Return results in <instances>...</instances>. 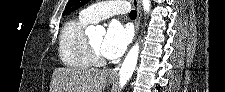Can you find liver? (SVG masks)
Listing matches in <instances>:
<instances>
[{"label":"liver","mask_w":225,"mask_h":92,"mask_svg":"<svg viewBox=\"0 0 225 92\" xmlns=\"http://www.w3.org/2000/svg\"><path fill=\"white\" fill-rule=\"evenodd\" d=\"M108 70L56 68L50 92H103Z\"/></svg>","instance_id":"6515ba94"}]
</instances>
